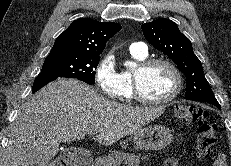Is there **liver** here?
I'll return each mask as SVG.
<instances>
[{
	"mask_svg": "<svg viewBox=\"0 0 231 166\" xmlns=\"http://www.w3.org/2000/svg\"><path fill=\"white\" fill-rule=\"evenodd\" d=\"M164 107H134L110 101L76 79L59 78L33 95L19 111L9 133L5 166H47L59 143L99 133L101 145L134 134Z\"/></svg>",
	"mask_w": 231,
	"mask_h": 166,
	"instance_id": "obj_1",
	"label": "liver"
}]
</instances>
